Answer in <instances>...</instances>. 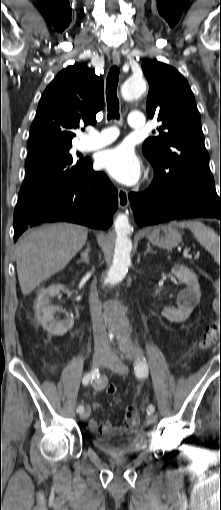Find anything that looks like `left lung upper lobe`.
Wrapping results in <instances>:
<instances>
[{"label":"left lung upper lobe","mask_w":221,"mask_h":510,"mask_svg":"<svg viewBox=\"0 0 221 510\" xmlns=\"http://www.w3.org/2000/svg\"><path fill=\"white\" fill-rule=\"evenodd\" d=\"M142 69L150 86L147 114L162 122L159 135L143 144L156 184L162 189H215L200 114L187 81L175 68L157 60H144Z\"/></svg>","instance_id":"obj_1"}]
</instances>
